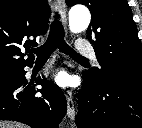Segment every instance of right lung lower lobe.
I'll return each instance as SVG.
<instances>
[{"label": "right lung lower lobe", "instance_id": "right-lung-lower-lobe-1", "mask_svg": "<svg viewBox=\"0 0 142 128\" xmlns=\"http://www.w3.org/2000/svg\"><path fill=\"white\" fill-rule=\"evenodd\" d=\"M25 71L11 83L0 86V120H13L33 128H58L67 109L66 98L59 87L45 78L35 80L42 89L28 82ZM41 95L36 96L37 93Z\"/></svg>", "mask_w": 142, "mask_h": 128}]
</instances>
